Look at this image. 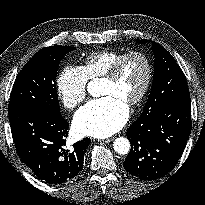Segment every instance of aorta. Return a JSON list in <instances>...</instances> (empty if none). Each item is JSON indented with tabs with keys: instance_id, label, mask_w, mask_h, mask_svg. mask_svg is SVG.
<instances>
[{
	"instance_id": "aorta-1",
	"label": "aorta",
	"mask_w": 205,
	"mask_h": 205,
	"mask_svg": "<svg viewBox=\"0 0 205 205\" xmlns=\"http://www.w3.org/2000/svg\"><path fill=\"white\" fill-rule=\"evenodd\" d=\"M113 148L118 154L126 155L130 151V142L124 137H118L113 143Z\"/></svg>"
}]
</instances>
